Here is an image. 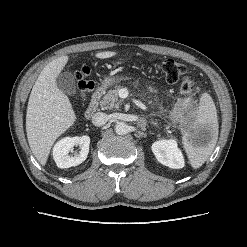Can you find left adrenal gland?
Segmentation results:
<instances>
[{"label":"left adrenal gland","mask_w":247,"mask_h":247,"mask_svg":"<svg viewBox=\"0 0 247 247\" xmlns=\"http://www.w3.org/2000/svg\"><path fill=\"white\" fill-rule=\"evenodd\" d=\"M153 126H157V123L156 122H152L151 123Z\"/></svg>","instance_id":"a2214340"}]
</instances>
